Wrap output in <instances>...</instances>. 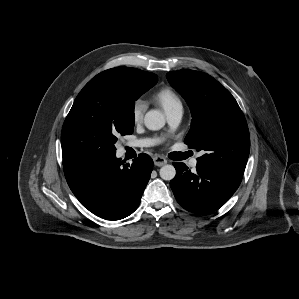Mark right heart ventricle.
Masks as SVG:
<instances>
[{"instance_id": "right-heart-ventricle-1", "label": "right heart ventricle", "mask_w": 299, "mask_h": 299, "mask_svg": "<svg viewBox=\"0 0 299 299\" xmlns=\"http://www.w3.org/2000/svg\"><path fill=\"white\" fill-rule=\"evenodd\" d=\"M153 100L160 105L166 113L177 107H182V101L178 94L168 87L158 90L153 95Z\"/></svg>"}]
</instances>
